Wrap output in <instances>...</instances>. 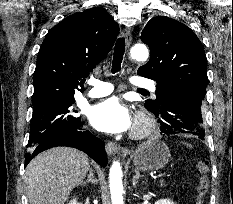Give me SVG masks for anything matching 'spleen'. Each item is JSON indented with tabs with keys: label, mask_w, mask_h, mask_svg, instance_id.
Masks as SVG:
<instances>
[{
	"label": "spleen",
	"mask_w": 233,
	"mask_h": 204,
	"mask_svg": "<svg viewBox=\"0 0 233 204\" xmlns=\"http://www.w3.org/2000/svg\"><path fill=\"white\" fill-rule=\"evenodd\" d=\"M187 146H188L189 148H191V145H188V144H187Z\"/></svg>",
	"instance_id": "spleen-1"
}]
</instances>
